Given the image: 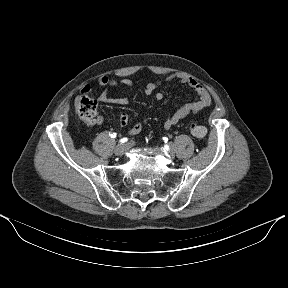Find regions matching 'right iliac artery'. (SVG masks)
<instances>
[{
    "label": "right iliac artery",
    "mask_w": 288,
    "mask_h": 288,
    "mask_svg": "<svg viewBox=\"0 0 288 288\" xmlns=\"http://www.w3.org/2000/svg\"><path fill=\"white\" fill-rule=\"evenodd\" d=\"M109 135L112 137V138H115L116 137V133H109Z\"/></svg>",
    "instance_id": "right-iliac-artery-1"
}]
</instances>
